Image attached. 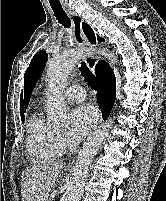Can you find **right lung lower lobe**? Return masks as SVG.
<instances>
[{
  "instance_id": "obj_1",
  "label": "right lung lower lobe",
  "mask_w": 166,
  "mask_h": 201,
  "mask_svg": "<svg viewBox=\"0 0 166 201\" xmlns=\"http://www.w3.org/2000/svg\"><path fill=\"white\" fill-rule=\"evenodd\" d=\"M96 75L101 84V89L97 93V100L102 111L103 119H106L115 102L116 80L112 69L104 61L101 63Z\"/></svg>"
}]
</instances>
